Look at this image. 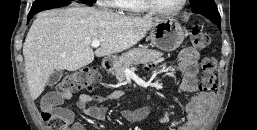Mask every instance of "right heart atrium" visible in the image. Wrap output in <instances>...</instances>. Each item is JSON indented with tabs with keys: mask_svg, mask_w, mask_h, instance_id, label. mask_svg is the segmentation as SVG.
I'll list each match as a JSON object with an SVG mask.
<instances>
[{
	"mask_svg": "<svg viewBox=\"0 0 257 130\" xmlns=\"http://www.w3.org/2000/svg\"><path fill=\"white\" fill-rule=\"evenodd\" d=\"M99 4L104 7L114 8L116 7V0H98Z\"/></svg>",
	"mask_w": 257,
	"mask_h": 130,
	"instance_id": "obj_1",
	"label": "right heart atrium"
}]
</instances>
